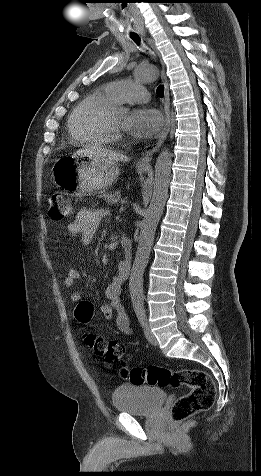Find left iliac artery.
Wrapping results in <instances>:
<instances>
[{"mask_svg":"<svg viewBox=\"0 0 261 476\" xmlns=\"http://www.w3.org/2000/svg\"><path fill=\"white\" fill-rule=\"evenodd\" d=\"M135 313L137 315V318L142 326L145 325L147 318H146V313L144 306L142 304H137L134 307Z\"/></svg>","mask_w":261,"mask_h":476,"instance_id":"obj_1","label":"left iliac artery"}]
</instances>
